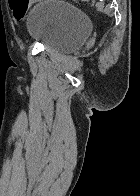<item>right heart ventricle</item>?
Masks as SVG:
<instances>
[{
	"label": "right heart ventricle",
	"mask_w": 140,
	"mask_h": 196,
	"mask_svg": "<svg viewBox=\"0 0 140 196\" xmlns=\"http://www.w3.org/2000/svg\"><path fill=\"white\" fill-rule=\"evenodd\" d=\"M0 192H33V191H0Z\"/></svg>",
	"instance_id": "right-heart-ventricle-1"
}]
</instances>
